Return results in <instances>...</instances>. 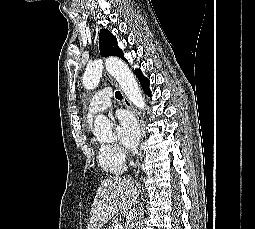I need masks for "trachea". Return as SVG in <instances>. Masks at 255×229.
Instances as JSON below:
<instances>
[{"instance_id": "obj_1", "label": "trachea", "mask_w": 255, "mask_h": 229, "mask_svg": "<svg viewBox=\"0 0 255 229\" xmlns=\"http://www.w3.org/2000/svg\"><path fill=\"white\" fill-rule=\"evenodd\" d=\"M116 99H122V94L119 91L115 92Z\"/></svg>"}]
</instances>
